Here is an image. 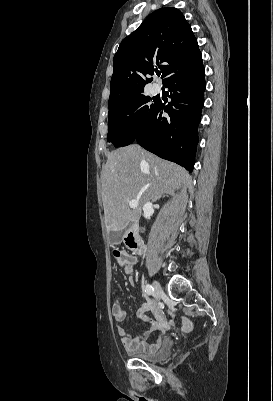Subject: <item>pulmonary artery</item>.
Here are the masks:
<instances>
[{
  "label": "pulmonary artery",
  "instance_id": "obj_1",
  "mask_svg": "<svg viewBox=\"0 0 273 401\" xmlns=\"http://www.w3.org/2000/svg\"><path fill=\"white\" fill-rule=\"evenodd\" d=\"M153 86H154L155 88H158V87L160 86V83H159L158 81H155V82L153 83Z\"/></svg>",
  "mask_w": 273,
  "mask_h": 401
}]
</instances>
